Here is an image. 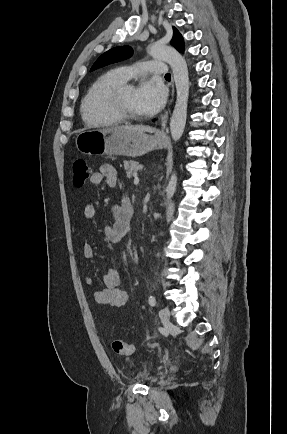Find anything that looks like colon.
Segmentation results:
<instances>
[{
	"label": "colon",
	"mask_w": 287,
	"mask_h": 434,
	"mask_svg": "<svg viewBox=\"0 0 287 434\" xmlns=\"http://www.w3.org/2000/svg\"><path fill=\"white\" fill-rule=\"evenodd\" d=\"M73 185L82 187L90 175L89 167L85 160L77 159L72 165ZM112 350L118 355L131 356L134 353V346L119 339L111 341Z\"/></svg>",
	"instance_id": "5ec220e1"
}]
</instances>
